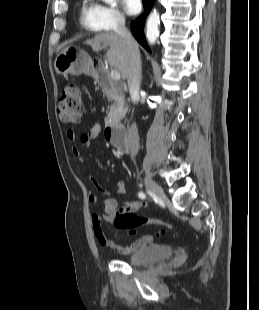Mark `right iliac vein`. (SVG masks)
I'll return each mask as SVG.
<instances>
[{
	"label": "right iliac vein",
	"instance_id": "right-iliac-vein-1",
	"mask_svg": "<svg viewBox=\"0 0 259 310\" xmlns=\"http://www.w3.org/2000/svg\"><path fill=\"white\" fill-rule=\"evenodd\" d=\"M144 183L147 187V189L154 195L161 197L162 199H165V194L162 190V188L150 177H144Z\"/></svg>",
	"mask_w": 259,
	"mask_h": 310
}]
</instances>
